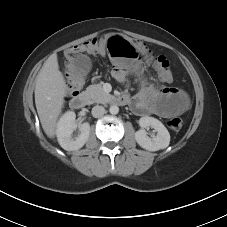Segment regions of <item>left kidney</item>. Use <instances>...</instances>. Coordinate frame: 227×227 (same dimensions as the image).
Returning <instances> with one entry per match:
<instances>
[{"mask_svg":"<svg viewBox=\"0 0 227 227\" xmlns=\"http://www.w3.org/2000/svg\"><path fill=\"white\" fill-rule=\"evenodd\" d=\"M139 125L141 129L135 133L136 142L144 149L148 151H157L165 149L170 143V134L166 127L156 118L144 116L140 118ZM151 127L157 135L150 138L147 136L145 128Z\"/></svg>","mask_w":227,"mask_h":227,"instance_id":"left-kidney-1","label":"left kidney"}]
</instances>
